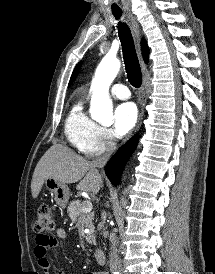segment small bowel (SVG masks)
<instances>
[{
  "instance_id": "obj_1",
  "label": "small bowel",
  "mask_w": 215,
  "mask_h": 274,
  "mask_svg": "<svg viewBox=\"0 0 215 274\" xmlns=\"http://www.w3.org/2000/svg\"><path fill=\"white\" fill-rule=\"evenodd\" d=\"M57 238L48 236L46 234H40L36 236V245L34 249L35 256L38 260L40 268L49 274L50 271V261L48 258V252L52 248L59 246V240H65L67 238V233L63 228H57L54 231ZM57 274H65L64 272H58ZM87 274H105L101 271L88 272Z\"/></svg>"
}]
</instances>
